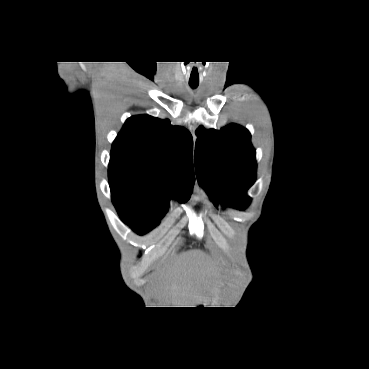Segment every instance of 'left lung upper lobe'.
<instances>
[{
  "mask_svg": "<svg viewBox=\"0 0 369 369\" xmlns=\"http://www.w3.org/2000/svg\"><path fill=\"white\" fill-rule=\"evenodd\" d=\"M197 180L215 205L245 209L251 199L246 191L256 178L255 149L249 131L230 124L221 130H196Z\"/></svg>",
  "mask_w": 369,
  "mask_h": 369,
  "instance_id": "1",
  "label": "left lung upper lobe"
}]
</instances>
